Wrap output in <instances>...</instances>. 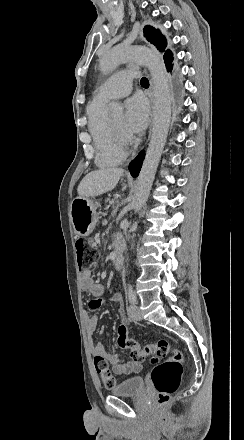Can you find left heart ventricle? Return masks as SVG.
<instances>
[{
	"label": "left heart ventricle",
	"instance_id": "left-heart-ventricle-1",
	"mask_svg": "<svg viewBox=\"0 0 244 440\" xmlns=\"http://www.w3.org/2000/svg\"><path fill=\"white\" fill-rule=\"evenodd\" d=\"M114 130H119L123 127V117H113L106 121Z\"/></svg>",
	"mask_w": 244,
	"mask_h": 440
}]
</instances>
